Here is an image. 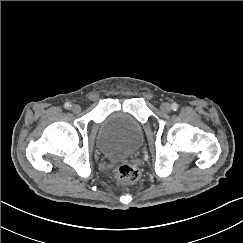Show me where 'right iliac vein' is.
I'll return each instance as SVG.
<instances>
[{"instance_id": "63e3f726", "label": "right iliac vein", "mask_w": 243, "mask_h": 243, "mask_svg": "<svg viewBox=\"0 0 243 243\" xmlns=\"http://www.w3.org/2000/svg\"><path fill=\"white\" fill-rule=\"evenodd\" d=\"M71 110L74 112V113H79L81 111V106L78 105V104H73L72 107H71Z\"/></svg>"}]
</instances>
